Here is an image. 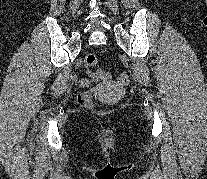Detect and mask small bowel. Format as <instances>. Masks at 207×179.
<instances>
[{
  "label": "small bowel",
  "mask_w": 207,
  "mask_h": 179,
  "mask_svg": "<svg viewBox=\"0 0 207 179\" xmlns=\"http://www.w3.org/2000/svg\"><path fill=\"white\" fill-rule=\"evenodd\" d=\"M87 74H88V76H89L90 78H84V79H82V80H81V83H82L83 85H88V84H90L91 81H94V80L99 79L98 75L95 76V75H93V73H91L90 71H87Z\"/></svg>",
  "instance_id": "c3829d8e"
}]
</instances>
